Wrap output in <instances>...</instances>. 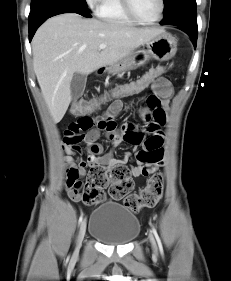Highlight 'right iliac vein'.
<instances>
[{"label": "right iliac vein", "mask_w": 231, "mask_h": 281, "mask_svg": "<svg viewBox=\"0 0 231 281\" xmlns=\"http://www.w3.org/2000/svg\"><path fill=\"white\" fill-rule=\"evenodd\" d=\"M85 233H86V220L84 219L81 223L79 233H78V236H77V245H76V248H75V251H74V254H73L74 257L78 256L79 248L82 244Z\"/></svg>", "instance_id": "1"}]
</instances>
